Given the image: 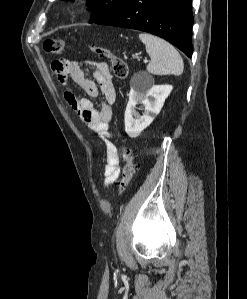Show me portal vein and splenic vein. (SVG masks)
I'll return each instance as SVG.
<instances>
[{"mask_svg": "<svg viewBox=\"0 0 247 299\" xmlns=\"http://www.w3.org/2000/svg\"><path fill=\"white\" fill-rule=\"evenodd\" d=\"M144 62L146 63V62H148L147 60H144Z\"/></svg>", "mask_w": 247, "mask_h": 299, "instance_id": "obj_1", "label": "portal vein and splenic vein"}]
</instances>
